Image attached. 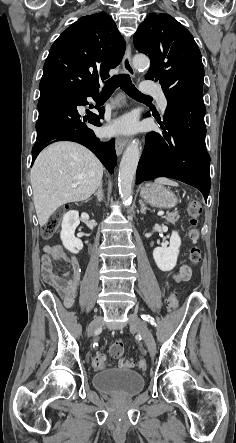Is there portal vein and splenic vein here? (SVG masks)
<instances>
[{"label": "portal vein and splenic vein", "instance_id": "1", "mask_svg": "<svg viewBox=\"0 0 236 443\" xmlns=\"http://www.w3.org/2000/svg\"><path fill=\"white\" fill-rule=\"evenodd\" d=\"M73 187H76V185H73ZM164 214V212L163 211H161V212H158V215L159 216H161V215H163Z\"/></svg>", "mask_w": 236, "mask_h": 443}]
</instances>
